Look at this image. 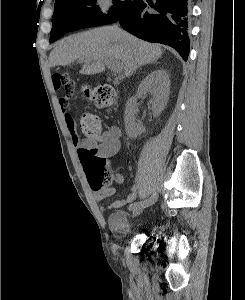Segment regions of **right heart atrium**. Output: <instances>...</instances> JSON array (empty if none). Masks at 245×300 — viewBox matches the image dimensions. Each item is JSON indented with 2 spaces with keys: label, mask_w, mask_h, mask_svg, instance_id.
I'll list each match as a JSON object with an SVG mask.
<instances>
[{
  "label": "right heart atrium",
  "mask_w": 245,
  "mask_h": 300,
  "mask_svg": "<svg viewBox=\"0 0 245 300\" xmlns=\"http://www.w3.org/2000/svg\"><path fill=\"white\" fill-rule=\"evenodd\" d=\"M95 5L99 11L106 13L112 6V0H95Z\"/></svg>",
  "instance_id": "obj_1"
}]
</instances>
